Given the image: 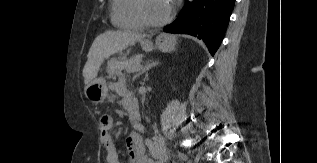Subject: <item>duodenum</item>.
Wrapping results in <instances>:
<instances>
[{
  "instance_id": "1",
  "label": "duodenum",
  "mask_w": 317,
  "mask_h": 163,
  "mask_svg": "<svg viewBox=\"0 0 317 163\" xmlns=\"http://www.w3.org/2000/svg\"><path fill=\"white\" fill-rule=\"evenodd\" d=\"M130 118L133 122L137 123V122H139L140 115L139 114H131Z\"/></svg>"
}]
</instances>
